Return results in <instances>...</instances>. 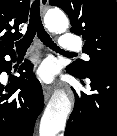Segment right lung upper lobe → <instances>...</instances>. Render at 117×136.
<instances>
[{
    "label": "right lung upper lobe",
    "instance_id": "1",
    "mask_svg": "<svg viewBox=\"0 0 117 136\" xmlns=\"http://www.w3.org/2000/svg\"><path fill=\"white\" fill-rule=\"evenodd\" d=\"M30 0H0V57L13 53V42L22 34L19 25L28 20Z\"/></svg>",
    "mask_w": 117,
    "mask_h": 136
}]
</instances>
